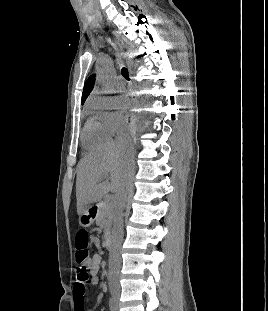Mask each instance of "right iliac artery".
<instances>
[{
	"label": "right iliac artery",
	"mask_w": 268,
	"mask_h": 311,
	"mask_svg": "<svg viewBox=\"0 0 268 311\" xmlns=\"http://www.w3.org/2000/svg\"><path fill=\"white\" fill-rule=\"evenodd\" d=\"M110 311H116V304L112 297L109 298Z\"/></svg>",
	"instance_id": "82829eb1"
}]
</instances>
